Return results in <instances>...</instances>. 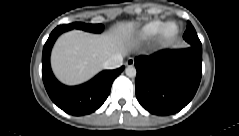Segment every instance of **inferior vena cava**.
Listing matches in <instances>:
<instances>
[{"instance_id":"602c4592","label":"inferior vena cava","mask_w":239,"mask_h":136,"mask_svg":"<svg viewBox=\"0 0 239 136\" xmlns=\"http://www.w3.org/2000/svg\"><path fill=\"white\" fill-rule=\"evenodd\" d=\"M122 64H123V57L120 54H118L106 60L103 64V68L116 69V68H119Z\"/></svg>"}]
</instances>
